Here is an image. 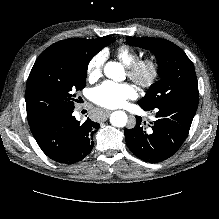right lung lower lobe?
Here are the masks:
<instances>
[{
  "label": "right lung lower lobe",
  "mask_w": 219,
  "mask_h": 219,
  "mask_svg": "<svg viewBox=\"0 0 219 219\" xmlns=\"http://www.w3.org/2000/svg\"><path fill=\"white\" fill-rule=\"evenodd\" d=\"M72 113L73 109L65 110L30 124L42 151L59 163L73 164L86 157L94 145L92 136L100 127L90 119L80 123Z\"/></svg>",
  "instance_id": "98d812e1"
}]
</instances>
